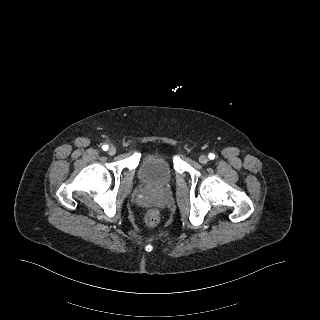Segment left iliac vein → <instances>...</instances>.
I'll return each mask as SVG.
<instances>
[{"label":"left iliac vein","mask_w":320,"mask_h":320,"mask_svg":"<svg viewBox=\"0 0 320 320\" xmlns=\"http://www.w3.org/2000/svg\"><path fill=\"white\" fill-rule=\"evenodd\" d=\"M208 161H209V160H208V157H207L206 155H201V156L199 157V162H200L201 164H206Z\"/></svg>","instance_id":"1"}]
</instances>
